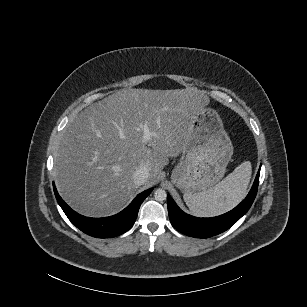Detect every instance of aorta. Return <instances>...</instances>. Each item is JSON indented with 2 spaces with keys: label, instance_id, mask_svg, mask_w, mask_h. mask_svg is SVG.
<instances>
[{
  "label": "aorta",
  "instance_id": "aorta-1",
  "mask_svg": "<svg viewBox=\"0 0 307 307\" xmlns=\"http://www.w3.org/2000/svg\"><path fill=\"white\" fill-rule=\"evenodd\" d=\"M167 197L166 191L163 189H157L154 193V198L156 201H163Z\"/></svg>",
  "mask_w": 307,
  "mask_h": 307
}]
</instances>
